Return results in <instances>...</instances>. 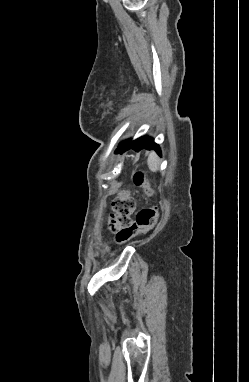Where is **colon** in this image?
I'll return each instance as SVG.
<instances>
[{"instance_id": "5ec220e1", "label": "colon", "mask_w": 249, "mask_h": 382, "mask_svg": "<svg viewBox=\"0 0 249 382\" xmlns=\"http://www.w3.org/2000/svg\"><path fill=\"white\" fill-rule=\"evenodd\" d=\"M134 182L138 186H145L147 192H150L142 171L134 175ZM134 208V199L125 191L112 201V211L108 217L109 229L115 234L116 243L120 246L126 244L135 235L148 231L155 224L157 216L155 207L143 208L135 218H132Z\"/></svg>"}]
</instances>
